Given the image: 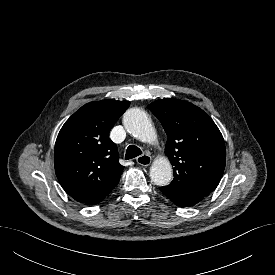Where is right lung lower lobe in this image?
Listing matches in <instances>:
<instances>
[{
	"mask_svg": "<svg viewBox=\"0 0 275 275\" xmlns=\"http://www.w3.org/2000/svg\"><path fill=\"white\" fill-rule=\"evenodd\" d=\"M101 200H102V199L96 200V201H92V202H89V203H87V204L94 205V204L99 203Z\"/></svg>",
	"mask_w": 275,
	"mask_h": 275,
	"instance_id": "obj_1",
	"label": "right lung lower lobe"
}]
</instances>
